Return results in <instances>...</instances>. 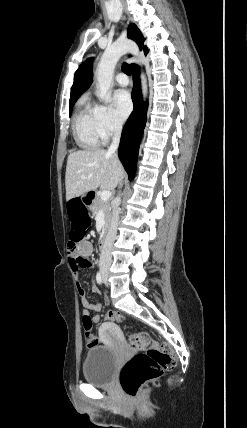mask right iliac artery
I'll return each mask as SVG.
<instances>
[{
  "mask_svg": "<svg viewBox=\"0 0 247 428\" xmlns=\"http://www.w3.org/2000/svg\"><path fill=\"white\" fill-rule=\"evenodd\" d=\"M96 280H97V283H98L99 285H101V284H102V275H101V272H97Z\"/></svg>",
  "mask_w": 247,
  "mask_h": 428,
  "instance_id": "right-iliac-artery-1",
  "label": "right iliac artery"
}]
</instances>
